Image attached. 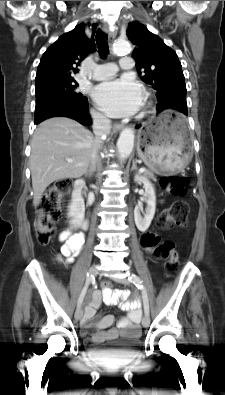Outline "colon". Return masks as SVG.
<instances>
[{
    "label": "colon",
    "mask_w": 225,
    "mask_h": 395,
    "mask_svg": "<svg viewBox=\"0 0 225 395\" xmlns=\"http://www.w3.org/2000/svg\"><path fill=\"white\" fill-rule=\"evenodd\" d=\"M70 180L61 179L51 184L43 194L37 208L35 221L37 241L41 245L49 244L56 233L55 223L61 216V205L64 194L70 188ZM162 188L176 197H183L189 186V179L184 175H167L161 178ZM188 220V205L183 200L175 201L170 208L163 211L158 218V226L168 230L173 226L183 227ZM143 247L151 252L155 259L164 261L169 275H174L178 268V254L172 241H161L156 233H147L142 238ZM103 288H111L112 282L102 280Z\"/></svg>",
    "instance_id": "colon-1"
}]
</instances>
